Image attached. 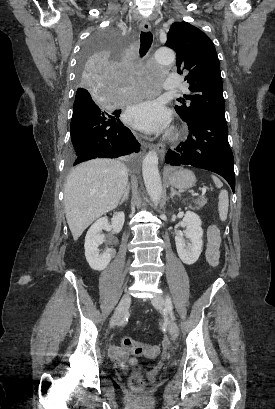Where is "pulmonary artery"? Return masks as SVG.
I'll return each mask as SVG.
<instances>
[{
    "instance_id": "e3ab8cb5",
    "label": "pulmonary artery",
    "mask_w": 275,
    "mask_h": 409,
    "mask_svg": "<svg viewBox=\"0 0 275 409\" xmlns=\"http://www.w3.org/2000/svg\"><path fill=\"white\" fill-rule=\"evenodd\" d=\"M167 79L164 80V87L165 88H177L178 87V80L174 73L170 72L167 74Z\"/></svg>"
}]
</instances>
